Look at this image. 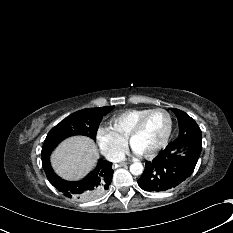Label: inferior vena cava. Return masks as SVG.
I'll list each match as a JSON object with an SVG mask.
<instances>
[{"mask_svg": "<svg viewBox=\"0 0 233 233\" xmlns=\"http://www.w3.org/2000/svg\"><path fill=\"white\" fill-rule=\"evenodd\" d=\"M108 160L111 162H121L125 160V156L122 154H112L108 157Z\"/></svg>", "mask_w": 233, "mask_h": 233, "instance_id": "1", "label": "inferior vena cava"}]
</instances>
